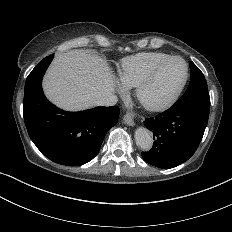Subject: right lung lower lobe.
Wrapping results in <instances>:
<instances>
[{
  "label": "right lung lower lobe",
  "instance_id": "right-lung-lower-lobe-1",
  "mask_svg": "<svg viewBox=\"0 0 232 232\" xmlns=\"http://www.w3.org/2000/svg\"><path fill=\"white\" fill-rule=\"evenodd\" d=\"M53 55L44 58L28 75L24 90V121L28 134L48 159L79 166L98 153L108 130L118 122L117 106L66 112L50 103L41 82Z\"/></svg>",
  "mask_w": 232,
  "mask_h": 232
}]
</instances>
